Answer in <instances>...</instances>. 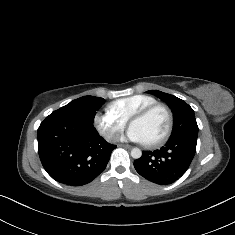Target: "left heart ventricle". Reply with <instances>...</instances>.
I'll use <instances>...</instances> for the list:
<instances>
[{
  "label": "left heart ventricle",
  "mask_w": 235,
  "mask_h": 235,
  "mask_svg": "<svg viewBox=\"0 0 235 235\" xmlns=\"http://www.w3.org/2000/svg\"><path fill=\"white\" fill-rule=\"evenodd\" d=\"M131 126L139 130L145 143H150L165 133L168 118L164 111L156 110L146 118L133 121Z\"/></svg>",
  "instance_id": "left-heart-ventricle-1"
}]
</instances>
